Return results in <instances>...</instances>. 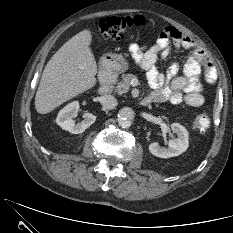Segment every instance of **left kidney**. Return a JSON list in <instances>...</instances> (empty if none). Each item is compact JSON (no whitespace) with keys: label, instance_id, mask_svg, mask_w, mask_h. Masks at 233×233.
Instances as JSON below:
<instances>
[{"label":"left kidney","instance_id":"5707ae66","mask_svg":"<svg viewBox=\"0 0 233 233\" xmlns=\"http://www.w3.org/2000/svg\"><path fill=\"white\" fill-rule=\"evenodd\" d=\"M171 129L177 138L169 140L167 148L160 147L157 142L151 143L149 145L151 154L160 158H170L179 156L187 150L189 146L187 129L178 123H173Z\"/></svg>","mask_w":233,"mask_h":233}]
</instances>
